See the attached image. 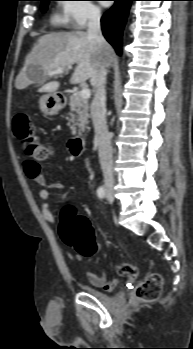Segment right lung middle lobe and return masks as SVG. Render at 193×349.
Masks as SVG:
<instances>
[{
	"instance_id": "obj_1",
	"label": "right lung middle lobe",
	"mask_w": 193,
	"mask_h": 349,
	"mask_svg": "<svg viewBox=\"0 0 193 349\" xmlns=\"http://www.w3.org/2000/svg\"><path fill=\"white\" fill-rule=\"evenodd\" d=\"M42 2V11H46L47 9V6H48V2L51 1V0H39Z\"/></svg>"
}]
</instances>
